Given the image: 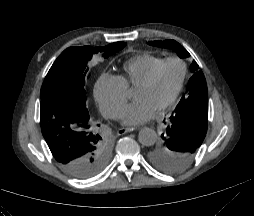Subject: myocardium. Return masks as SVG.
Wrapping results in <instances>:
<instances>
[{
  "label": "myocardium",
  "instance_id": "obj_1",
  "mask_svg": "<svg viewBox=\"0 0 254 216\" xmlns=\"http://www.w3.org/2000/svg\"><path fill=\"white\" fill-rule=\"evenodd\" d=\"M168 63L178 64L181 69V74H180V78H179L177 87H176L172 97L157 110L159 113H163L166 110L170 109L177 101V99L182 91L184 81H185V78L187 75L186 62L182 58L176 57V56L165 58L149 73V75L143 81H141L136 86V88H137V87H147V86L152 85L153 82L156 80L159 72L163 68V66H165Z\"/></svg>",
  "mask_w": 254,
  "mask_h": 216
}]
</instances>
